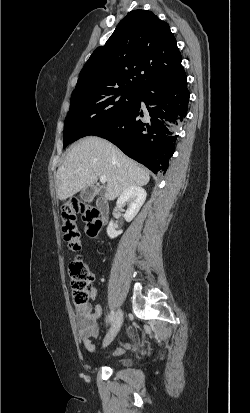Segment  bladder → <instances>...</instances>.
<instances>
[{"label":"bladder","instance_id":"31cf9c89","mask_svg":"<svg viewBox=\"0 0 250 413\" xmlns=\"http://www.w3.org/2000/svg\"><path fill=\"white\" fill-rule=\"evenodd\" d=\"M130 363H131V360H130L129 358H122V359H119V360L116 362L117 365H121V366H127V365H129Z\"/></svg>","mask_w":250,"mask_h":413}]
</instances>
